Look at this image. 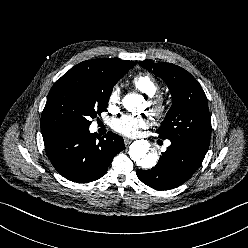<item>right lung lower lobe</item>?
<instances>
[{"mask_svg": "<svg viewBox=\"0 0 248 248\" xmlns=\"http://www.w3.org/2000/svg\"><path fill=\"white\" fill-rule=\"evenodd\" d=\"M45 150L63 177L86 183L101 178L113 158L124 149L122 137L109 132L103 137L89 128H56L42 131Z\"/></svg>", "mask_w": 248, "mask_h": 248, "instance_id": "right-lung-lower-lobe-1", "label": "right lung lower lobe"}]
</instances>
